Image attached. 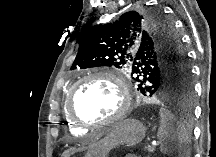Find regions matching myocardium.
I'll return each mask as SVG.
<instances>
[{"instance_id":"f54148a6","label":"myocardium","mask_w":216,"mask_h":157,"mask_svg":"<svg viewBox=\"0 0 216 157\" xmlns=\"http://www.w3.org/2000/svg\"><path fill=\"white\" fill-rule=\"evenodd\" d=\"M91 79L106 80L117 87V90L119 92V107L115 112V114L108 119L101 120V121H86L80 118L74 112L73 96L75 90L80 84ZM130 107H131V95H130L128 84L119 75H117L112 71H107V70L93 71L78 79L70 88L66 100V112L68 118L74 123H76L77 125L85 128L108 126V125L115 124L121 121L126 116Z\"/></svg>"}]
</instances>
